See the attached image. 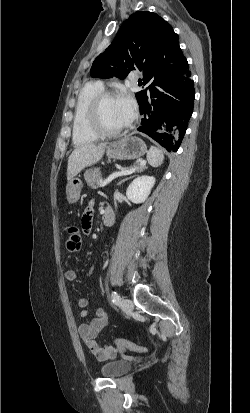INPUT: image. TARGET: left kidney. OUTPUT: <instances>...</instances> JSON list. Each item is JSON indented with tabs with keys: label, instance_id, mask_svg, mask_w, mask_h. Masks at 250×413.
Wrapping results in <instances>:
<instances>
[{
	"label": "left kidney",
	"instance_id": "left-kidney-1",
	"mask_svg": "<svg viewBox=\"0 0 250 413\" xmlns=\"http://www.w3.org/2000/svg\"><path fill=\"white\" fill-rule=\"evenodd\" d=\"M154 184L155 178L153 176H139L127 188L126 196L135 204L143 203L148 198Z\"/></svg>",
	"mask_w": 250,
	"mask_h": 413
}]
</instances>
